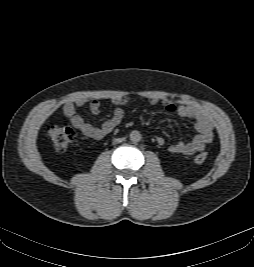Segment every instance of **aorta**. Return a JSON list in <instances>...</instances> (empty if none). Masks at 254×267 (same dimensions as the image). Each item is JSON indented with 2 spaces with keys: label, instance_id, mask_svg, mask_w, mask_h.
<instances>
[{
  "label": "aorta",
  "instance_id": "aorta-1",
  "mask_svg": "<svg viewBox=\"0 0 254 267\" xmlns=\"http://www.w3.org/2000/svg\"><path fill=\"white\" fill-rule=\"evenodd\" d=\"M141 138H142V135H141V133L139 131H137V130L131 131L130 140L132 142L137 143V142H139L141 140Z\"/></svg>",
  "mask_w": 254,
  "mask_h": 267
}]
</instances>
